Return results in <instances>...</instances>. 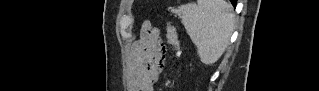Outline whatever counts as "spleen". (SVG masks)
I'll list each match as a JSON object with an SVG mask.
<instances>
[{"label": "spleen", "mask_w": 319, "mask_h": 91, "mask_svg": "<svg viewBox=\"0 0 319 91\" xmlns=\"http://www.w3.org/2000/svg\"><path fill=\"white\" fill-rule=\"evenodd\" d=\"M171 12L181 18L190 39L197 47L203 64L212 65L219 60L229 44L234 30L235 15L224 0H198Z\"/></svg>", "instance_id": "spleen-1"}]
</instances>
